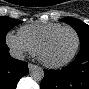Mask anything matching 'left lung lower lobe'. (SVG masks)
<instances>
[{
    "mask_svg": "<svg viewBox=\"0 0 89 89\" xmlns=\"http://www.w3.org/2000/svg\"><path fill=\"white\" fill-rule=\"evenodd\" d=\"M41 89H89V45L81 46L75 60L62 70H44Z\"/></svg>",
    "mask_w": 89,
    "mask_h": 89,
    "instance_id": "obj_1",
    "label": "left lung lower lobe"
}]
</instances>
